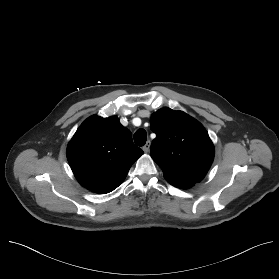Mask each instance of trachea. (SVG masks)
I'll use <instances>...</instances> for the list:
<instances>
[{
	"instance_id": "obj_1",
	"label": "trachea",
	"mask_w": 279,
	"mask_h": 279,
	"mask_svg": "<svg viewBox=\"0 0 279 279\" xmlns=\"http://www.w3.org/2000/svg\"><path fill=\"white\" fill-rule=\"evenodd\" d=\"M147 140V134L144 129H139L138 131L135 132L134 134V142L138 146H143L145 145Z\"/></svg>"
}]
</instances>
